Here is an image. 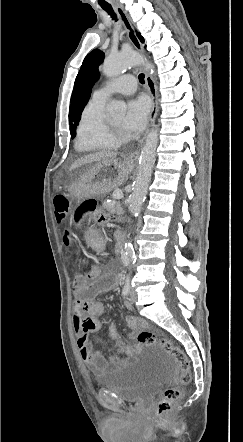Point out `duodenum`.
Wrapping results in <instances>:
<instances>
[{"label":"duodenum","mask_w":243,"mask_h":442,"mask_svg":"<svg viewBox=\"0 0 243 442\" xmlns=\"http://www.w3.org/2000/svg\"><path fill=\"white\" fill-rule=\"evenodd\" d=\"M121 238H122V233L120 231H118L117 232V240H118V242L121 240ZM119 250H120V248H119V245L117 244L116 251L119 252Z\"/></svg>","instance_id":"410a0bca"}]
</instances>
